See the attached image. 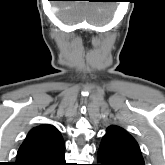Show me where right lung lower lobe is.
<instances>
[{
    "label": "right lung lower lobe",
    "instance_id": "1",
    "mask_svg": "<svg viewBox=\"0 0 165 165\" xmlns=\"http://www.w3.org/2000/svg\"><path fill=\"white\" fill-rule=\"evenodd\" d=\"M40 149V153L30 157L20 165H66L65 143L62 136L44 144Z\"/></svg>",
    "mask_w": 165,
    "mask_h": 165
}]
</instances>
